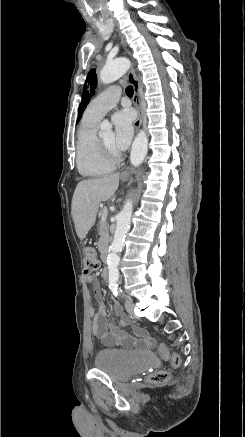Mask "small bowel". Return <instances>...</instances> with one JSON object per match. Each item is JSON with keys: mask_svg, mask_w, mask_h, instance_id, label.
I'll use <instances>...</instances> for the list:
<instances>
[{"mask_svg": "<svg viewBox=\"0 0 245 437\" xmlns=\"http://www.w3.org/2000/svg\"><path fill=\"white\" fill-rule=\"evenodd\" d=\"M85 281L93 284L94 296L97 301V310L92 317V334L104 344L127 349H144L148 347L151 340L145 336L142 330L134 328L136 336H132L120 327L110 323L108 320V309L104 302V293L98 280L94 276H85ZM113 312L120 317V325H129V319L124 315L119 303L114 302Z\"/></svg>", "mask_w": 245, "mask_h": 437, "instance_id": "c3829d8e", "label": "small bowel"}]
</instances>
